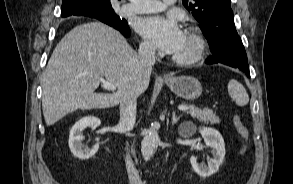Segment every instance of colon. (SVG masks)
<instances>
[{"instance_id":"5ec220e1","label":"colon","mask_w":293,"mask_h":184,"mask_svg":"<svg viewBox=\"0 0 293 184\" xmlns=\"http://www.w3.org/2000/svg\"><path fill=\"white\" fill-rule=\"evenodd\" d=\"M233 123L235 126V129L239 136L241 137V147L240 152L244 154L247 151L248 148V141H249V131L247 127L242 122V119L239 115H235L233 117Z\"/></svg>"}]
</instances>
